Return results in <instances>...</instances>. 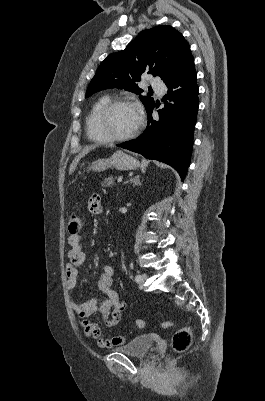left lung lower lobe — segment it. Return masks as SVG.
I'll return each instance as SVG.
<instances>
[{"label":"left lung lower lobe","instance_id":"0a47b994","mask_svg":"<svg viewBox=\"0 0 265 401\" xmlns=\"http://www.w3.org/2000/svg\"><path fill=\"white\" fill-rule=\"evenodd\" d=\"M165 84L168 93L164 98L170 103L165 100V107L158 110L159 118H152L153 105L147 110L148 124L143 134L117 146L171 165L183 181L190 163L199 106L193 57H188Z\"/></svg>","mask_w":265,"mask_h":401}]
</instances>
